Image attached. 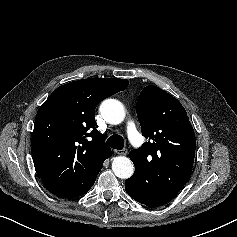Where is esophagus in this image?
Wrapping results in <instances>:
<instances>
[{"label":"esophagus","mask_w":237,"mask_h":237,"mask_svg":"<svg viewBox=\"0 0 237 237\" xmlns=\"http://www.w3.org/2000/svg\"><path fill=\"white\" fill-rule=\"evenodd\" d=\"M115 153H117L119 155H127L128 150L127 149L115 150Z\"/></svg>","instance_id":"1"}]
</instances>
